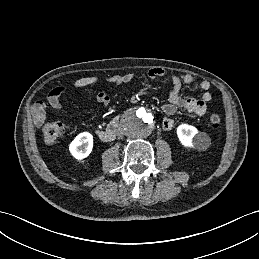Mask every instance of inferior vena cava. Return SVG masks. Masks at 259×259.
<instances>
[{
    "label": "inferior vena cava",
    "mask_w": 259,
    "mask_h": 259,
    "mask_svg": "<svg viewBox=\"0 0 259 259\" xmlns=\"http://www.w3.org/2000/svg\"><path fill=\"white\" fill-rule=\"evenodd\" d=\"M124 134H125V133H124V131H123L122 129L118 130V132H117V137H118V139H121Z\"/></svg>",
    "instance_id": "obj_1"
}]
</instances>
